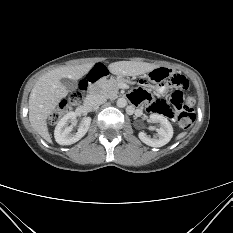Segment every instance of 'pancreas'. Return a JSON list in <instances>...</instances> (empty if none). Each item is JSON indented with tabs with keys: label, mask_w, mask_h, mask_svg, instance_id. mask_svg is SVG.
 <instances>
[{
	"label": "pancreas",
	"mask_w": 233,
	"mask_h": 233,
	"mask_svg": "<svg viewBox=\"0 0 233 233\" xmlns=\"http://www.w3.org/2000/svg\"><path fill=\"white\" fill-rule=\"evenodd\" d=\"M121 80L118 79H102L99 81L101 92L109 98H114L118 94V84Z\"/></svg>",
	"instance_id": "obj_1"
}]
</instances>
